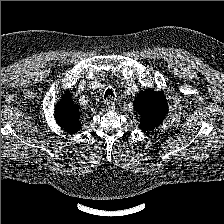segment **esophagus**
<instances>
[{
    "label": "esophagus",
    "mask_w": 224,
    "mask_h": 224,
    "mask_svg": "<svg viewBox=\"0 0 224 224\" xmlns=\"http://www.w3.org/2000/svg\"><path fill=\"white\" fill-rule=\"evenodd\" d=\"M106 108L108 111H114L115 109V104L113 102V98L109 97L107 100H106Z\"/></svg>",
    "instance_id": "esophagus-1"
}]
</instances>
